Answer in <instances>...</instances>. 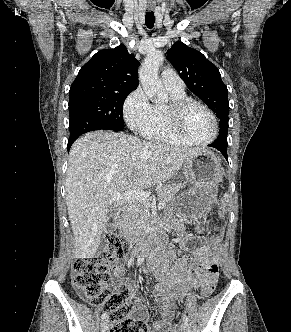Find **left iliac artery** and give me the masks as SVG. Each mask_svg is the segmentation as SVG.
Instances as JSON below:
<instances>
[{
    "label": "left iliac artery",
    "mask_w": 291,
    "mask_h": 332,
    "mask_svg": "<svg viewBox=\"0 0 291 332\" xmlns=\"http://www.w3.org/2000/svg\"><path fill=\"white\" fill-rule=\"evenodd\" d=\"M183 321L184 322H188L189 321V319H188V317L186 315L183 316Z\"/></svg>",
    "instance_id": "left-iliac-artery-1"
}]
</instances>
